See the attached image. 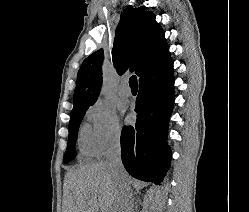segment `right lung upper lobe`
<instances>
[{"label":"right lung upper lobe","instance_id":"1","mask_svg":"<svg viewBox=\"0 0 249 212\" xmlns=\"http://www.w3.org/2000/svg\"><path fill=\"white\" fill-rule=\"evenodd\" d=\"M164 31L155 15L144 6L126 8L116 28L112 50L113 64L118 74L134 71L139 77L169 55ZM104 55L100 49L87 57L77 75L74 109H82L96 102L102 84Z\"/></svg>","mask_w":249,"mask_h":212}]
</instances>
